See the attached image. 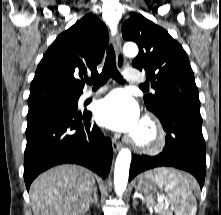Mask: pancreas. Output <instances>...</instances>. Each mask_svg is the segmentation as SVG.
<instances>
[{"instance_id":"cf45deb5","label":"pancreas","mask_w":221,"mask_h":215,"mask_svg":"<svg viewBox=\"0 0 221 215\" xmlns=\"http://www.w3.org/2000/svg\"><path fill=\"white\" fill-rule=\"evenodd\" d=\"M156 212L159 215H172L171 211L164 209V205L163 204L161 206L157 207Z\"/></svg>"}]
</instances>
